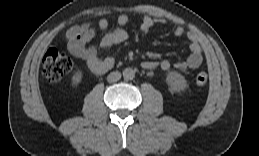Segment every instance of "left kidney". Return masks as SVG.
Returning <instances> with one entry per match:
<instances>
[{"label":"left kidney","mask_w":259,"mask_h":156,"mask_svg":"<svg viewBox=\"0 0 259 156\" xmlns=\"http://www.w3.org/2000/svg\"><path fill=\"white\" fill-rule=\"evenodd\" d=\"M166 82L171 92H181L188 86L187 81L183 75L178 72L171 71L167 74Z\"/></svg>","instance_id":"left-kidney-1"}]
</instances>
